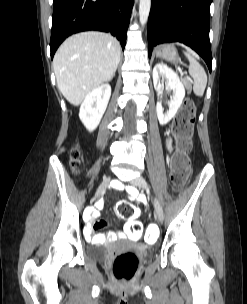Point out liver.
<instances>
[{"label": "liver", "mask_w": 247, "mask_h": 304, "mask_svg": "<svg viewBox=\"0 0 247 304\" xmlns=\"http://www.w3.org/2000/svg\"><path fill=\"white\" fill-rule=\"evenodd\" d=\"M120 56V44L109 33L72 35L61 44L53 60L59 91L78 106L93 89L113 78Z\"/></svg>", "instance_id": "6515ba94"}]
</instances>
